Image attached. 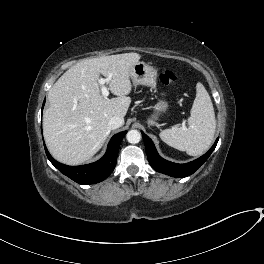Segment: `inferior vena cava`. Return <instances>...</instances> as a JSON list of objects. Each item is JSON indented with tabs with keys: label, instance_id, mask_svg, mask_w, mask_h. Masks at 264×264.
Wrapping results in <instances>:
<instances>
[{
	"label": "inferior vena cava",
	"instance_id": "1",
	"mask_svg": "<svg viewBox=\"0 0 264 264\" xmlns=\"http://www.w3.org/2000/svg\"><path fill=\"white\" fill-rule=\"evenodd\" d=\"M124 124V120L120 117L113 116L108 121V127L109 129L113 130L116 128L121 127Z\"/></svg>",
	"mask_w": 264,
	"mask_h": 264
}]
</instances>
